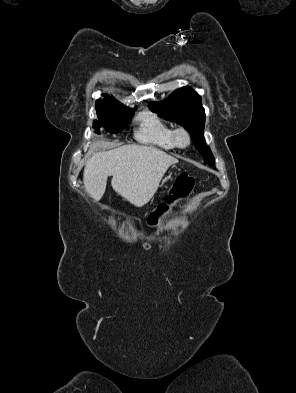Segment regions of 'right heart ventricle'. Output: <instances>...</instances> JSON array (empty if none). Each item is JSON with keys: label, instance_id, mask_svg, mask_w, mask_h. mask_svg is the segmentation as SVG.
I'll return each mask as SVG.
<instances>
[{"label": "right heart ventricle", "instance_id": "right-heart-ventricle-1", "mask_svg": "<svg viewBox=\"0 0 296 393\" xmlns=\"http://www.w3.org/2000/svg\"><path fill=\"white\" fill-rule=\"evenodd\" d=\"M173 131V127L156 114L144 112L139 116L136 138L163 149H173L176 147L173 140Z\"/></svg>", "mask_w": 296, "mask_h": 393}]
</instances>
